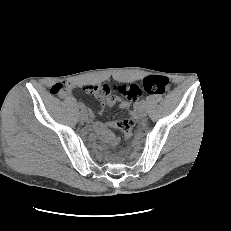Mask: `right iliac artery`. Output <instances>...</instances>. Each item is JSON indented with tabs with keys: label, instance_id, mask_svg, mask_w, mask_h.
<instances>
[{
	"label": "right iliac artery",
	"instance_id": "82829eb1",
	"mask_svg": "<svg viewBox=\"0 0 231 231\" xmlns=\"http://www.w3.org/2000/svg\"><path fill=\"white\" fill-rule=\"evenodd\" d=\"M78 106H79V108L82 109V110L85 109V105H84L82 102H79V103H78Z\"/></svg>",
	"mask_w": 231,
	"mask_h": 231
}]
</instances>
